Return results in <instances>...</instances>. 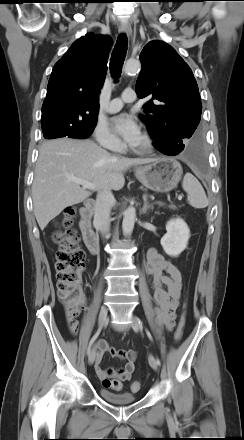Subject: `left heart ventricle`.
<instances>
[{"label":"left heart ventricle","instance_id":"left-heart-ventricle-1","mask_svg":"<svg viewBox=\"0 0 244 440\" xmlns=\"http://www.w3.org/2000/svg\"><path fill=\"white\" fill-rule=\"evenodd\" d=\"M141 142V137L139 138V140L136 142V144L134 146H137L138 144H140Z\"/></svg>","mask_w":244,"mask_h":440}]
</instances>
